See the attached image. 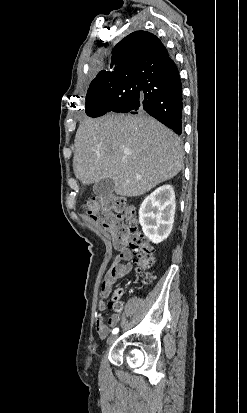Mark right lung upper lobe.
Returning <instances> with one entry per match:
<instances>
[{
	"mask_svg": "<svg viewBox=\"0 0 247 413\" xmlns=\"http://www.w3.org/2000/svg\"><path fill=\"white\" fill-rule=\"evenodd\" d=\"M172 59L165 46L154 34L136 31L122 39L112 51V71L102 70L94 80L124 81L137 73L160 71Z\"/></svg>",
	"mask_w": 247,
	"mask_h": 413,
	"instance_id": "right-lung-upper-lobe-1",
	"label": "right lung upper lobe"
}]
</instances>
